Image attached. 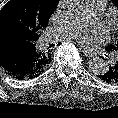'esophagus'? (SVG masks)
I'll list each match as a JSON object with an SVG mask.
<instances>
[{
    "instance_id": "34e87169",
    "label": "esophagus",
    "mask_w": 118,
    "mask_h": 118,
    "mask_svg": "<svg viewBox=\"0 0 118 118\" xmlns=\"http://www.w3.org/2000/svg\"><path fill=\"white\" fill-rule=\"evenodd\" d=\"M80 50L86 57H88V58L93 57V54L91 52H89L88 50L82 49V48Z\"/></svg>"
}]
</instances>
